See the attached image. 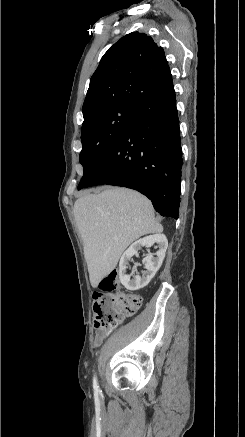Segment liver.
Returning <instances> with one entry per match:
<instances>
[{"label": "liver", "instance_id": "obj_1", "mask_svg": "<svg viewBox=\"0 0 245 437\" xmlns=\"http://www.w3.org/2000/svg\"><path fill=\"white\" fill-rule=\"evenodd\" d=\"M84 244L92 287L117 265L121 254L136 239L160 234L152 203L143 195L125 188H108L76 200L73 209Z\"/></svg>", "mask_w": 245, "mask_h": 437}]
</instances>
